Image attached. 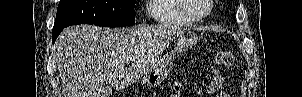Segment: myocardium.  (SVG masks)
I'll list each match as a JSON object with an SVG mask.
<instances>
[{"mask_svg": "<svg viewBox=\"0 0 302 97\" xmlns=\"http://www.w3.org/2000/svg\"><path fill=\"white\" fill-rule=\"evenodd\" d=\"M206 2H207V11L202 15H196L188 9L185 0H178V4H179V8H180L181 12L186 17H188L194 21H200L211 14L212 9H213V0H206Z\"/></svg>", "mask_w": 302, "mask_h": 97, "instance_id": "obj_1", "label": "myocardium"}]
</instances>
